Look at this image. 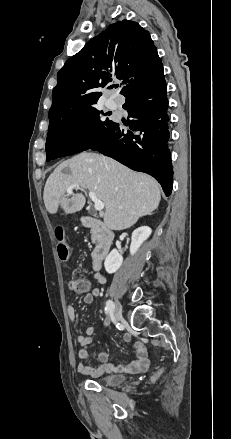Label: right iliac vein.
I'll use <instances>...</instances> for the list:
<instances>
[{
  "label": "right iliac vein",
  "mask_w": 231,
  "mask_h": 439,
  "mask_svg": "<svg viewBox=\"0 0 231 439\" xmlns=\"http://www.w3.org/2000/svg\"><path fill=\"white\" fill-rule=\"evenodd\" d=\"M113 314L116 320H120L122 318V306L118 300L114 302Z\"/></svg>",
  "instance_id": "right-iliac-vein-1"
}]
</instances>
